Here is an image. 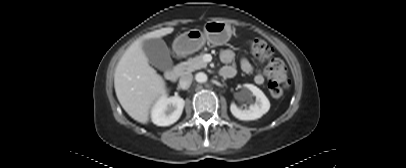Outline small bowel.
Returning a JSON list of instances; mask_svg holds the SVG:
<instances>
[{
  "mask_svg": "<svg viewBox=\"0 0 406 168\" xmlns=\"http://www.w3.org/2000/svg\"><path fill=\"white\" fill-rule=\"evenodd\" d=\"M221 60L227 65L222 68V75L225 77H233L236 74V68L232 65L235 58V53L231 48L224 49L220 52ZM240 66L244 73H254V82L258 85L264 83V74L261 71H255L252 63L245 57L240 60Z\"/></svg>",
  "mask_w": 406,
  "mask_h": 168,
  "instance_id": "small-bowel-1",
  "label": "small bowel"
}]
</instances>
